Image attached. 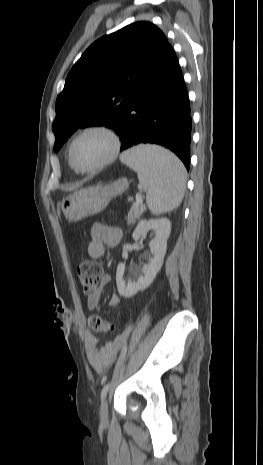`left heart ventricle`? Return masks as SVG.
Masks as SVG:
<instances>
[{"mask_svg":"<svg viewBox=\"0 0 263 465\" xmlns=\"http://www.w3.org/2000/svg\"><path fill=\"white\" fill-rule=\"evenodd\" d=\"M111 148L112 143L105 134L90 132L75 142L72 150L73 160L78 167L90 169L106 159Z\"/></svg>","mask_w":263,"mask_h":465,"instance_id":"1","label":"left heart ventricle"}]
</instances>
